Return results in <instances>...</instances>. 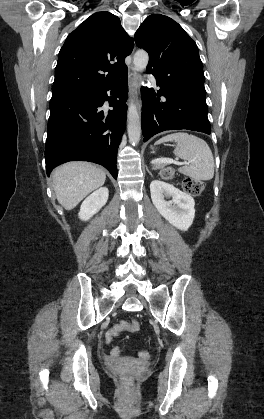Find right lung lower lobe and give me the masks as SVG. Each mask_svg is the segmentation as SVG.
Returning <instances> with one entry per match:
<instances>
[{"label":"right lung lower lobe","mask_w":264,"mask_h":419,"mask_svg":"<svg viewBox=\"0 0 264 419\" xmlns=\"http://www.w3.org/2000/svg\"><path fill=\"white\" fill-rule=\"evenodd\" d=\"M127 73L94 91L51 98L45 147L48 176L64 162L83 160L104 166L117 178V150L126 127ZM105 101L112 110L104 109Z\"/></svg>","instance_id":"obj_1"}]
</instances>
